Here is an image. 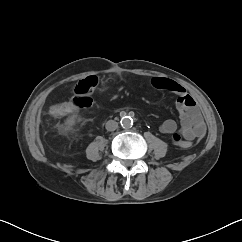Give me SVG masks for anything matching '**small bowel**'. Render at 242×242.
Segmentation results:
<instances>
[{
    "mask_svg": "<svg viewBox=\"0 0 242 242\" xmlns=\"http://www.w3.org/2000/svg\"><path fill=\"white\" fill-rule=\"evenodd\" d=\"M90 79L98 80L96 76H88L79 81L75 88ZM151 85L158 90H168L177 95L176 109L179 112L180 127L178 129L173 119H167L160 125V132L171 135L172 142L182 149L191 147L193 140L203 138L206 133L205 122L194 98L186 89L171 79L160 77L153 78ZM75 109L74 103L69 101L62 116L72 113Z\"/></svg>",
    "mask_w": 242,
    "mask_h": 242,
    "instance_id": "1",
    "label": "small bowel"
}]
</instances>
